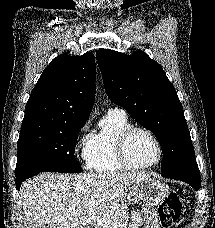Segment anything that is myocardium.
<instances>
[{
    "instance_id": "obj_1",
    "label": "myocardium",
    "mask_w": 215,
    "mask_h": 228,
    "mask_svg": "<svg viewBox=\"0 0 215 228\" xmlns=\"http://www.w3.org/2000/svg\"><path fill=\"white\" fill-rule=\"evenodd\" d=\"M138 131L147 134L151 138V140L154 142L156 149H157V158L155 159V161H153L150 164L143 165V166L133 165L130 162L128 155H127L128 141H129L130 137L132 136V134L135 132H138ZM115 149H116V155H117L119 163L125 169L132 170V171H140V170H147V169L154 168L161 162L162 156H163V148H162L161 142L159 141L158 137L155 135V133L153 131H151L150 129H148L144 126L131 125L128 128H126L125 130H123L116 139Z\"/></svg>"
}]
</instances>
